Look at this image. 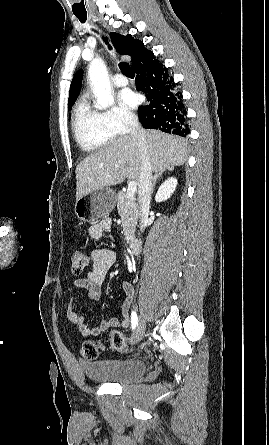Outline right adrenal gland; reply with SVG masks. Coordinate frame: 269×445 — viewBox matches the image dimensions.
Masks as SVG:
<instances>
[{
  "label": "right adrenal gland",
  "instance_id": "obj_1",
  "mask_svg": "<svg viewBox=\"0 0 269 445\" xmlns=\"http://www.w3.org/2000/svg\"><path fill=\"white\" fill-rule=\"evenodd\" d=\"M168 171H173V168H168L167 170H164V171L155 173V175H154V177H153L152 186H151V194H153V192H154V187H155V184H156V182H157V179L160 178V177H162V175H163L165 172H168Z\"/></svg>",
  "mask_w": 269,
  "mask_h": 445
}]
</instances>
